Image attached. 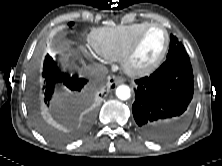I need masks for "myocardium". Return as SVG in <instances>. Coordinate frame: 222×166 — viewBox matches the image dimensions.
I'll return each mask as SVG.
<instances>
[{
  "instance_id": "obj_1",
  "label": "myocardium",
  "mask_w": 222,
  "mask_h": 166,
  "mask_svg": "<svg viewBox=\"0 0 222 166\" xmlns=\"http://www.w3.org/2000/svg\"><path fill=\"white\" fill-rule=\"evenodd\" d=\"M154 27H159L164 31L165 37H166L164 47L154 62H152L151 64H149L148 66H145V67H135L132 64V57H133L141 39H142V37L144 36V34L149 29L154 28ZM169 46H170V33L167 30V28L161 23H156V22L148 23L136 34V36L133 38V40L130 42V44L128 45V47L124 51V53L121 57V65L127 73L132 74V75L149 74V73L155 71L161 65L164 58L166 57Z\"/></svg>"
}]
</instances>
